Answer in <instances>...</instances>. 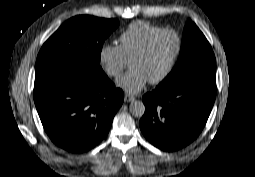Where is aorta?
Masks as SVG:
<instances>
[{"label": "aorta", "instance_id": "762f6f07", "mask_svg": "<svg viewBox=\"0 0 255 177\" xmlns=\"http://www.w3.org/2000/svg\"><path fill=\"white\" fill-rule=\"evenodd\" d=\"M129 112L137 118H140L145 113V105L142 101H132L129 106Z\"/></svg>", "mask_w": 255, "mask_h": 177}]
</instances>
